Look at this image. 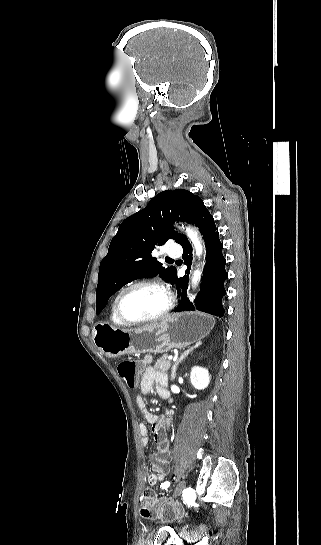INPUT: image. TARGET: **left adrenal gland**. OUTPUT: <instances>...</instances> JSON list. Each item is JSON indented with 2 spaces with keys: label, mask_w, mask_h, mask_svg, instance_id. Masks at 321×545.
I'll return each mask as SVG.
<instances>
[{
  "label": "left adrenal gland",
  "mask_w": 321,
  "mask_h": 545,
  "mask_svg": "<svg viewBox=\"0 0 321 545\" xmlns=\"http://www.w3.org/2000/svg\"><path fill=\"white\" fill-rule=\"evenodd\" d=\"M200 345V341L199 343H196V345H194V347H190V349H188V351H185V353H182L181 357H179L178 361H176V363H174L173 367H172V373H171V381H174L175 377H176V371H177V367L179 365V363H181V361H183V359H185V357H188L189 353H191V351H194V349H197V347H199Z\"/></svg>",
  "instance_id": "1"
}]
</instances>
